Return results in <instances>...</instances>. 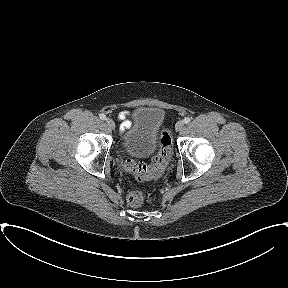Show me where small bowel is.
<instances>
[{
	"label": "small bowel",
	"mask_w": 288,
	"mask_h": 288,
	"mask_svg": "<svg viewBox=\"0 0 288 288\" xmlns=\"http://www.w3.org/2000/svg\"><path fill=\"white\" fill-rule=\"evenodd\" d=\"M129 112L123 111L119 114L118 118L122 121L123 128H129L131 125V122L128 119Z\"/></svg>",
	"instance_id": "1"
}]
</instances>
